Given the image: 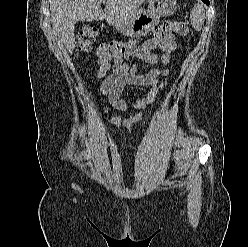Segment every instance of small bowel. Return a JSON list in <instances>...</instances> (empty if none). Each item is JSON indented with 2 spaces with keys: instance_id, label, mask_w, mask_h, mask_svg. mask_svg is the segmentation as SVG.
Returning a JSON list of instances; mask_svg holds the SVG:
<instances>
[{
  "instance_id": "c3829d8e",
  "label": "small bowel",
  "mask_w": 248,
  "mask_h": 247,
  "mask_svg": "<svg viewBox=\"0 0 248 247\" xmlns=\"http://www.w3.org/2000/svg\"><path fill=\"white\" fill-rule=\"evenodd\" d=\"M177 42L172 34L164 37H151L141 42H129L122 52H114L99 60L98 80L101 81V93L105 96V104L111 105L121 112L143 110L148 108L156 96L163 90V80L169 75V69H153L146 74H138L137 66L130 64L129 59L135 58L150 65L159 61L167 67L175 51ZM112 70V73H107ZM126 86L151 87L147 98L129 103L121 98ZM143 112L127 117H118L106 114L109 121L123 127L128 132L131 126L144 118Z\"/></svg>"
}]
</instances>
